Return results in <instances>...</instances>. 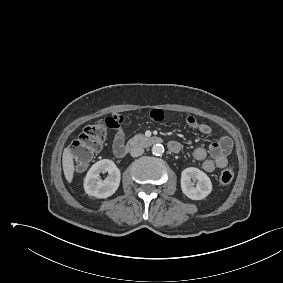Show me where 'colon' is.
<instances>
[{
    "instance_id": "1",
    "label": "colon",
    "mask_w": 283,
    "mask_h": 283,
    "mask_svg": "<svg viewBox=\"0 0 283 283\" xmlns=\"http://www.w3.org/2000/svg\"><path fill=\"white\" fill-rule=\"evenodd\" d=\"M107 121H98L87 126L71 147L74 164L77 168L83 169L90 162L92 157L98 153L105 142L108 128ZM234 178L232 166L225 168L219 176L221 184H229Z\"/></svg>"
}]
</instances>
